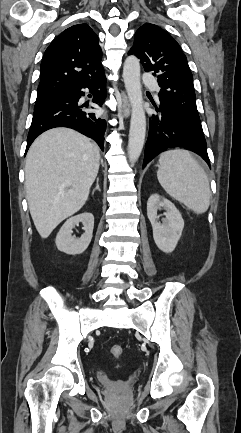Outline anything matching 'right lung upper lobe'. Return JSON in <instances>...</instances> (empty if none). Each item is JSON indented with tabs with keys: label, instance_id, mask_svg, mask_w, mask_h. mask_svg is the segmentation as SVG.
I'll return each mask as SVG.
<instances>
[{
	"label": "right lung upper lobe",
	"instance_id": "obj_1",
	"mask_svg": "<svg viewBox=\"0 0 241 433\" xmlns=\"http://www.w3.org/2000/svg\"><path fill=\"white\" fill-rule=\"evenodd\" d=\"M98 36L87 24L63 31L46 49L40 67L37 96L57 94L73 84H85L104 74Z\"/></svg>",
	"mask_w": 241,
	"mask_h": 433
}]
</instances>
